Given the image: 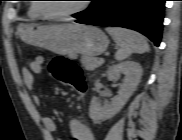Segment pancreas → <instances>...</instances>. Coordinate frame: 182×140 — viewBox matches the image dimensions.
Masks as SVG:
<instances>
[{"mask_svg": "<svg viewBox=\"0 0 182 140\" xmlns=\"http://www.w3.org/2000/svg\"><path fill=\"white\" fill-rule=\"evenodd\" d=\"M81 63L86 70L93 71L98 68L102 63L96 57L83 56Z\"/></svg>", "mask_w": 182, "mask_h": 140, "instance_id": "obj_1", "label": "pancreas"}]
</instances>
